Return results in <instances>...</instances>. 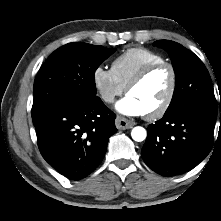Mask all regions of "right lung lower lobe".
<instances>
[{"label":"right lung lower lobe","mask_w":221,"mask_h":221,"mask_svg":"<svg viewBox=\"0 0 221 221\" xmlns=\"http://www.w3.org/2000/svg\"><path fill=\"white\" fill-rule=\"evenodd\" d=\"M115 118L99 97L60 101L33 121L40 153L61 175L81 180L104 158Z\"/></svg>","instance_id":"right-lung-lower-lobe-1"}]
</instances>
